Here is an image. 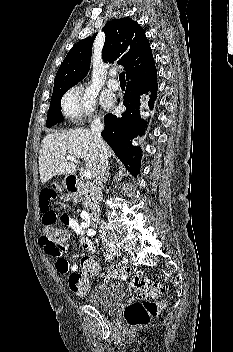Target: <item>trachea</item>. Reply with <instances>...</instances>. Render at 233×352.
Instances as JSON below:
<instances>
[{"label":"trachea","instance_id":"trachea-1","mask_svg":"<svg viewBox=\"0 0 233 352\" xmlns=\"http://www.w3.org/2000/svg\"><path fill=\"white\" fill-rule=\"evenodd\" d=\"M120 82H125V72H121L119 75Z\"/></svg>","mask_w":233,"mask_h":352}]
</instances>
